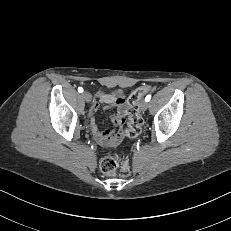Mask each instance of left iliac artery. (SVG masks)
Returning <instances> with one entry per match:
<instances>
[{"instance_id": "obj_1", "label": "left iliac artery", "mask_w": 231, "mask_h": 231, "mask_svg": "<svg viewBox=\"0 0 231 231\" xmlns=\"http://www.w3.org/2000/svg\"><path fill=\"white\" fill-rule=\"evenodd\" d=\"M150 99H151V94L146 96L145 101L148 102V101H150Z\"/></svg>"}]
</instances>
